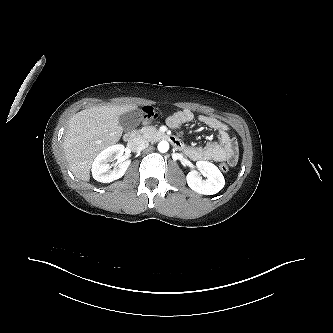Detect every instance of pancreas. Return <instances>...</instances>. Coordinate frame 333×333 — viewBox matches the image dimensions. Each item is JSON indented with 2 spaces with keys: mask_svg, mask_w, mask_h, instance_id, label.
<instances>
[{
  "mask_svg": "<svg viewBox=\"0 0 333 333\" xmlns=\"http://www.w3.org/2000/svg\"><path fill=\"white\" fill-rule=\"evenodd\" d=\"M137 133L142 134L143 138L147 140H152L154 136L158 134V130L154 126H147L137 131Z\"/></svg>",
  "mask_w": 333,
  "mask_h": 333,
  "instance_id": "cf45deb5",
  "label": "pancreas"
}]
</instances>
